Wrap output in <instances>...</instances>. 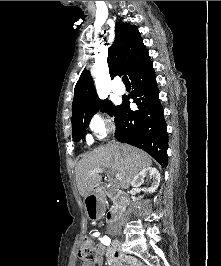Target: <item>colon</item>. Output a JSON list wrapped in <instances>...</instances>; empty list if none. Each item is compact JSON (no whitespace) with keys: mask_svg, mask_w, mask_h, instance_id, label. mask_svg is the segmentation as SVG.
<instances>
[{"mask_svg":"<svg viewBox=\"0 0 221 266\" xmlns=\"http://www.w3.org/2000/svg\"><path fill=\"white\" fill-rule=\"evenodd\" d=\"M78 256L84 262L93 261L97 257V250L89 236H85L80 244Z\"/></svg>","mask_w":221,"mask_h":266,"instance_id":"1","label":"colon"}]
</instances>
